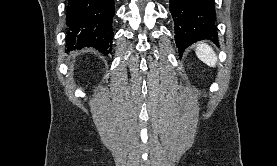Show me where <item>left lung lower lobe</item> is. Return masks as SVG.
<instances>
[{"label":"left lung lower lobe","instance_id":"left-lung-lower-lobe-1","mask_svg":"<svg viewBox=\"0 0 277 166\" xmlns=\"http://www.w3.org/2000/svg\"><path fill=\"white\" fill-rule=\"evenodd\" d=\"M179 53L192 43L208 39L218 44L213 0H170Z\"/></svg>","mask_w":277,"mask_h":166}]
</instances>
